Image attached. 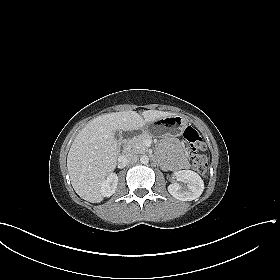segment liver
<instances>
[{
	"mask_svg": "<svg viewBox=\"0 0 280 280\" xmlns=\"http://www.w3.org/2000/svg\"><path fill=\"white\" fill-rule=\"evenodd\" d=\"M171 112L146 110L103 114L90 121L75 137L67 156V169L75 192L84 200H103L101 183L116 168L118 142L115 132L132 131Z\"/></svg>",
	"mask_w": 280,
	"mask_h": 280,
	"instance_id": "liver-1",
	"label": "liver"
}]
</instances>
